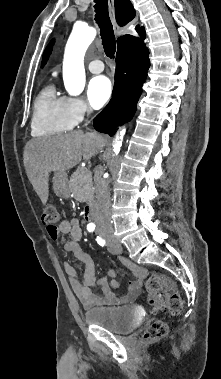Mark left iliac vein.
Segmentation results:
<instances>
[{"instance_id":"left-iliac-vein-1","label":"left iliac vein","mask_w":221,"mask_h":379,"mask_svg":"<svg viewBox=\"0 0 221 379\" xmlns=\"http://www.w3.org/2000/svg\"><path fill=\"white\" fill-rule=\"evenodd\" d=\"M108 249L112 254H120L122 252L121 245L114 239L108 242Z\"/></svg>"}]
</instances>
